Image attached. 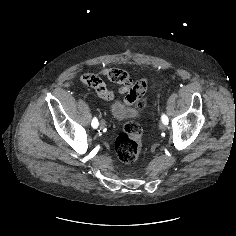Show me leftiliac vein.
<instances>
[{
    "mask_svg": "<svg viewBox=\"0 0 236 236\" xmlns=\"http://www.w3.org/2000/svg\"><path fill=\"white\" fill-rule=\"evenodd\" d=\"M159 128H160L161 130H165V129H166V124H164L163 122L160 123Z\"/></svg>",
    "mask_w": 236,
    "mask_h": 236,
    "instance_id": "left-iliac-vein-1",
    "label": "left iliac vein"
}]
</instances>
